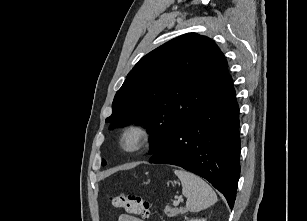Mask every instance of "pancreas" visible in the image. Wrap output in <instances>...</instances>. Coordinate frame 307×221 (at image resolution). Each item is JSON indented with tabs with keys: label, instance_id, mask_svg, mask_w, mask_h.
Listing matches in <instances>:
<instances>
[{
	"label": "pancreas",
	"instance_id": "pancreas-1",
	"mask_svg": "<svg viewBox=\"0 0 307 221\" xmlns=\"http://www.w3.org/2000/svg\"><path fill=\"white\" fill-rule=\"evenodd\" d=\"M164 212L168 217H174V216H177L179 214H185L187 211H186L185 208H170V207L167 206L164 209Z\"/></svg>",
	"mask_w": 307,
	"mask_h": 221
}]
</instances>
